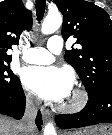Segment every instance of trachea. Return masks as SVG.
Instances as JSON below:
<instances>
[{
    "label": "trachea",
    "instance_id": "3493384b",
    "mask_svg": "<svg viewBox=\"0 0 112 135\" xmlns=\"http://www.w3.org/2000/svg\"><path fill=\"white\" fill-rule=\"evenodd\" d=\"M46 0H36L37 20L40 22L45 13Z\"/></svg>",
    "mask_w": 112,
    "mask_h": 135
}]
</instances>
